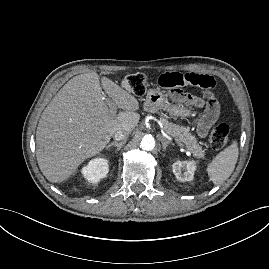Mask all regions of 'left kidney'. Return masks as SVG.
<instances>
[{"mask_svg": "<svg viewBox=\"0 0 269 269\" xmlns=\"http://www.w3.org/2000/svg\"><path fill=\"white\" fill-rule=\"evenodd\" d=\"M173 173L180 182H189L194 178L196 170V162L191 161H176L172 165Z\"/></svg>", "mask_w": 269, "mask_h": 269, "instance_id": "left-kidney-1", "label": "left kidney"}]
</instances>
